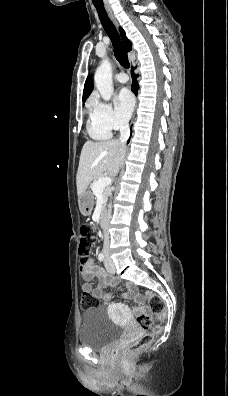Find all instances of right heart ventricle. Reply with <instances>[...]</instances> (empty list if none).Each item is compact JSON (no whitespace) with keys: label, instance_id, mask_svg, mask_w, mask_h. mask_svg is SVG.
I'll return each instance as SVG.
<instances>
[{"label":"right heart ventricle","instance_id":"e07e8e85","mask_svg":"<svg viewBox=\"0 0 228 396\" xmlns=\"http://www.w3.org/2000/svg\"><path fill=\"white\" fill-rule=\"evenodd\" d=\"M88 132L90 136L95 140H106L111 136V132L104 127H102L92 116L90 115V119L87 126Z\"/></svg>","mask_w":228,"mask_h":396}]
</instances>
